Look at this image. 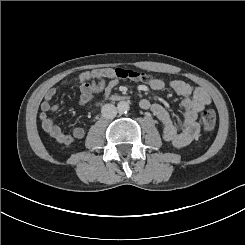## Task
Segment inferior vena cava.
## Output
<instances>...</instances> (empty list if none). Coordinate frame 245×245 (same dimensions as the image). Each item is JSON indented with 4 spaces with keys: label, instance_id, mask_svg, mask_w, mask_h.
<instances>
[{
    "label": "inferior vena cava",
    "instance_id": "602c4592",
    "mask_svg": "<svg viewBox=\"0 0 245 245\" xmlns=\"http://www.w3.org/2000/svg\"><path fill=\"white\" fill-rule=\"evenodd\" d=\"M102 116L106 119H113L117 115V109L112 104H105L101 109Z\"/></svg>",
    "mask_w": 245,
    "mask_h": 245
}]
</instances>
